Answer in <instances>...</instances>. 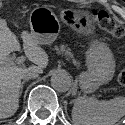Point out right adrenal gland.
<instances>
[{
	"label": "right adrenal gland",
	"instance_id": "right-adrenal-gland-1",
	"mask_svg": "<svg viewBox=\"0 0 125 125\" xmlns=\"http://www.w3.org/2000/svg\"><path fill=\"white\" fill-rule=\"evenodd\" d=\"M26 81H27V80H23V81H22V83H21V87H20L19 95L22 94V92H23V88H24V84H25Z\"/></svg>",
	"mask_w": 125,
	"mask_h": 125
}]
</instances>
